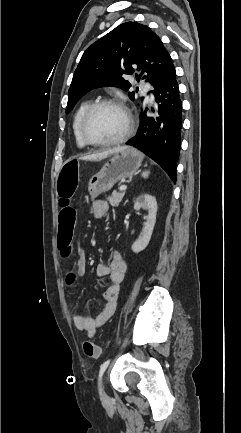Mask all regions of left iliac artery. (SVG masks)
<instances>
[{
    "instance_id": "obj_1",
    "label": "left iliac artery",
    "mask_w": 241,
    "mask_h": 433,
    "mask_svg": "<svg viewBox=\"0 0 241 433\" xmlns=\"http://www.w3.org/2000/svg\"><path fill=\"white\" fill-rule=\"evenodd\" d=\"M109 363H110V359L107 360V361H105V362L100 366V371H99V380H100V378L102 377V375H103L104 371L106 370V368L108 367Z\"/></svg>"
}]
</instances>
